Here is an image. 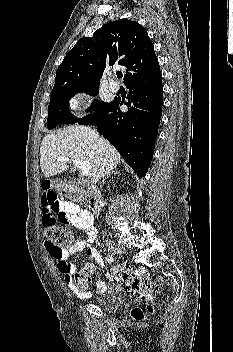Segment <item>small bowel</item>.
Returning a JSON list of instances; mask_svg holds the SVG:
<instances>
[{"instance_id":"c3829d8e","label":"small bowel","mask_w":233,"mask_h":352,"mask_svg":"<svg viewBox=\"0 0 233 352\" xmlns=\"http://www.w3.org/2000/svg\"><path fill=\"white\" fill-rule=\"evenodd\" d=\"M61 189V183L55 180H47L42 184L41 191V211L42 222H60L70 225L81 230L85 239L77 240L72 246L61 249L45 242V248L48 254L57 260V267L70 290L82 300L89 299L92 294L88 291H79L74 283L73 276L75 274V264L71 260V256L75 253L86 250L87 255L93 259L98 269L104 267V262L100 252L94 247L97 231L93 226L92 214L70 201L61 200L58 197V191ZM106 284L102 281L96 282L97 292L104 291Z\"/></svg>"}]
</instances>
